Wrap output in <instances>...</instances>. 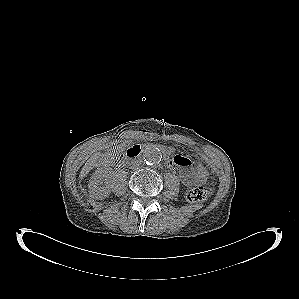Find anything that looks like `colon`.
I'll use <instances>...</instances> for the list:
<instances>
[{
	"label": "colon",
	"instance_id": "1",
	"mask_svg": "<svg viewBox=\"0 0 299 299\" xmlns=\"http://www.w3.org/2000/svg\"><path fill=\"white\" fill-rule=\"evenodd\" d=\"M196 183H203L208 179V171L202 164H195L192 169ZM208 197V191L203 186H197L186 192V199L190 203H202Z\"/></svg>",
	"mask_w": 299,
	"mask_h": 299
}]
</instances>
